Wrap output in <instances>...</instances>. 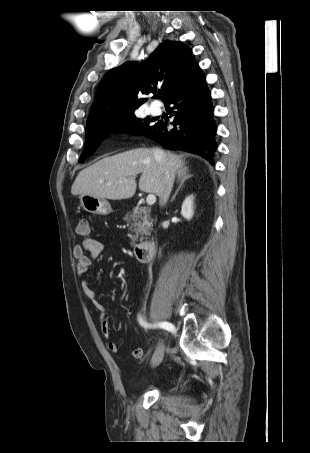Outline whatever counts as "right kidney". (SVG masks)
<instances>
[{"label":"right kidney","mask_w":310,"mask_h":453,"mask_svg":"<svg viewBox=\"0 0 310 453\" xmlns=\"http://www.w3.org/2000/svg\"><path fill=\"white\" fill-rule=\"evenodd\" d=\"M193 199L194 197L192 195L188 196L182 204L181 215L187 220H190L194 214Z\"/></svg>","instance_id":"ca27d5eb"}]
</instances>
